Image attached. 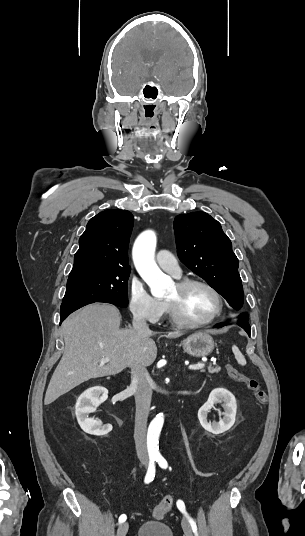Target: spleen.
Wrapping results in <instances>:
<instances>
[{
	"mask_svg": "<svg viewBox=\"0 0 305 536\" xmlns=\"http://www.w3.org/2000/svg\"><path fill=\"white\" fill-rule=\"evenodd\" d=\"M232 352L235 356V360H237V364H240V366H246L247 362L237 346H232Z\"/></svg>",
	"mask_w": 305,
	"mask_h": 536,
	"instance_id": "3e777b00",
	"label": "spleen"
}]
</instances>
